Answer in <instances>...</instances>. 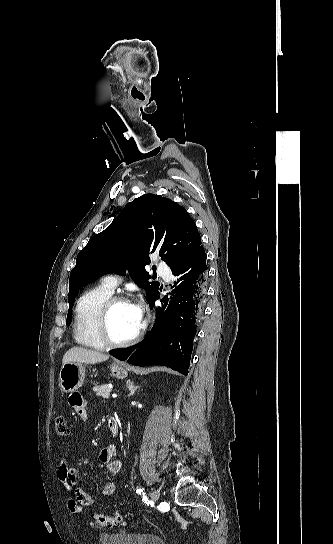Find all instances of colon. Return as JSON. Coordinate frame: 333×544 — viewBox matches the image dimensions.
<instances>
[{
  "instance_id": "5ec220e1",
  "label": "colon",
  "mask_w": 333,
  "mask_h": 544,
  "mask_svg": "<svg viewBox=\"0 0 333 544\" xmlns=\"http://www.w3.org/2000/svg\"><path fill=\"white\" fill-rule=\"evenodd\" d=\"M54 429L55 432L61 436H68L70 434V429L68 427L67 421L63 416L56 417L54 422ZM124 522L125 517L120 513H115L113 515L97 513L93 516L92 526L115 527L123 524Z\"/></svg>"
}]
</instances>
